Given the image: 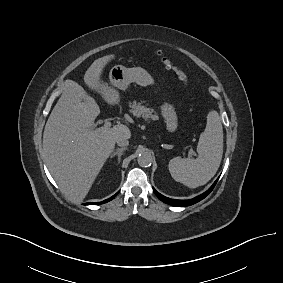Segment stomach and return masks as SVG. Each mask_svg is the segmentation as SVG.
I'll list each match as a JSON object with an SVG mask.
<instances>
[{
	"instance_id": "obj_1",
	"label": "stomach",
	"mask_w": 283,
	"mask_h": 283,
	"mask_svg": "<svg viewBox=\"0 0 283 283\" xmlns=\"http://www.w3.org/2000/svg\"><path fill=\"white\" fill-rule=\"evenodd\" d=\"M110 84L118 89L125 90L132 82L146 87L154 85V78L143 68H126L122 65L114 66L109 72ZM161 115L164 118L166 129L175 132L178 127V117L174 107L169 103H164L160 107Z\"/></svg>"
}]
</instances>
